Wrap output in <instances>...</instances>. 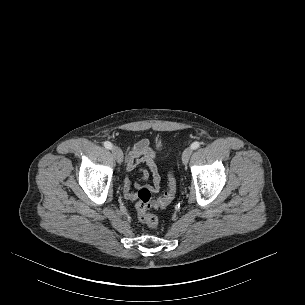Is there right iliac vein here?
<instances>
[{
  "instance_id": "1",
  "label": "right iliac vein",
  "mask_w": 305,
  "mask_h": 305,
  "mask_svg": "<svg viewBox=\"0 0 305 305\" xmlns=\"http://www.w3.org/2000/svg\"><path fill=\"white\" fill-rule=\"evenodd\" d=\"M112 153L115 157V159L117 160L118 163H122L123 162V153H122V150L117 147V146H114L112 147Z\"/></svg>"
}]
</instances>
